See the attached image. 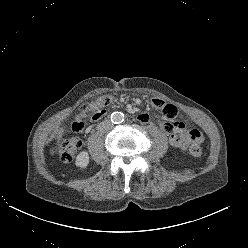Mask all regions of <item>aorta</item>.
<instances>
[{
    "mask_svg": "<svg viewBox=\"0 0 248 248\" xmlns=\"http://www.w3.org/2000/svg\"><path fill=\"white\" fill-rule=\"evenodd\" d=\"M123 120H124V114L122 112L116 111L111 114V121L113 123H121L123 122Z\"/></svg>",
    "mask_w": 248,
    "mask_h": 248,
    "instance_id": "762f6f07",
    "label": "aorta"
}]
</instances>
